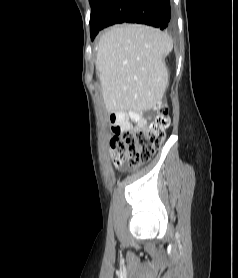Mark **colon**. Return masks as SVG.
Listing matches in <instances>:
<instances>
[{"label":"colon","mask_w":238,"mask_h":278,"mask_svg":"<svg viewBox=\"0 0 238 278\" xmlns=\"http://www.w3.org/2000/svg\"><path fill=\"white\" fill-rule=\"evenodd\" d=\"M169 125L168 108L159 105L156 119L148 127L114 133L110 147L116 156V166L137 167L151 160L156 149L162 145Z\"/></svg>","instance_id":"1"}]
</instances>
